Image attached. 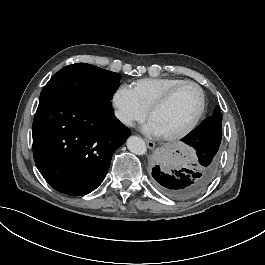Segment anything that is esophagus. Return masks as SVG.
Returning <instances> with one entry per match:
<instances>
[{
	"label": "esophagus",
	"mask_w": 265,
	"mask_h": 265,
	"mask_svg": "<svg viewBox=\"0 0 265 265\" xmlns=\"http://www.w3.org/2000/svg\"><path fill=\"white\" fill-rule=\"evenodd\" d=\"M145 142L150 150L154 149L155 143L153 141L145 140Z\"/></svg>",
	"instance_id": "34e87169"
}]
</instances>
